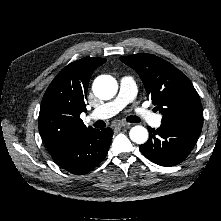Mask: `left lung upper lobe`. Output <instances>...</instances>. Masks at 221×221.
<instances>
[{
	"mask_svg": "<svg viewBox=\"0 0 221 221\" xmlns=\"http://www.w3.org/2000/svg\"><path fill=\"white\" fill-rule=\"evenodd\" d=\"M143 81L163 124L203 125V109L190 80L169 62L147 53L121 57Z\"/></svg>",
	"mask_w": 221,
	"mask_h": 221,
	"instance_id": "obj_1",
	"label": "left lung upper lobe"
}]
</instances>
